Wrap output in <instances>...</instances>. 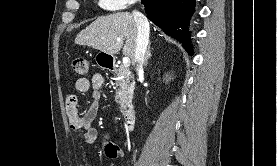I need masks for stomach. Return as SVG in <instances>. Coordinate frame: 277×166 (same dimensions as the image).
<instances>
[{"label":"stomach","instance_id":"stomach-1","mask_svg":"<svg viewBox=\"0 0 277 166\" xmlns=\"http://www.w3.org/2000/svg\"><path fill=\"white\" fill-rule=\"evenodd\" d=\"M95 60L99 67L109 68L112 65L113 57H112V55H109L107 53L99 52V53H97Z\"/></svg>","mask_w":277,"mask_h":166}]
</instances>
